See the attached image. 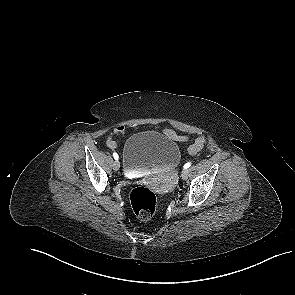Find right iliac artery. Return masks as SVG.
<instances>
[{"instance_id": "obj_1", "label": "right iliac artery", "mask_w": 295, "mask_h": 295, "mask_svg": "<svg viewBox=\"0 0 295 295\" xmlns=\"http://www.w3.org/2000/svg\"><path fill=\"white\" fill-rule=\"evenodd\" d=\"M113 157H114L115 160H118V155H117V153H113Z\"/></svg>"}]
</instances>
